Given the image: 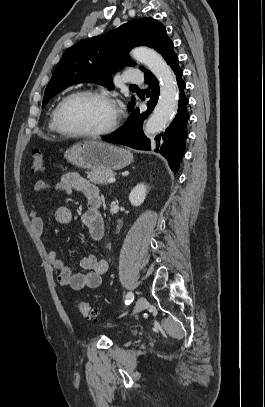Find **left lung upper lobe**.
Returning a JSON list of instances; mask_svg holds the SVG:
<instances>
[{
	"instance_id": "1",
	"label": "left lung upper lobe",
	"mask_w": 265,
	"mask_h": 407,
	"mask_svg": "<svg viewBox=\"0 0 265 407\" xmlns=\"http://www.w3.org/2000/svg\"><path fill=\"white\" fill-rule=\"evenodd\" d=\"M148 46L159 52L168 65L177 59L166 28L153 18L134 19L106 34L83 40L70 47L58 63L48 83L42 107L66 87L81 82H95L113 89L110 74L126 65L134 66L128 52L135 46ZM145 74L151 73L140 67ZM135 98L129 103L133 110Z\"/></svg>"
}]
</instances>
